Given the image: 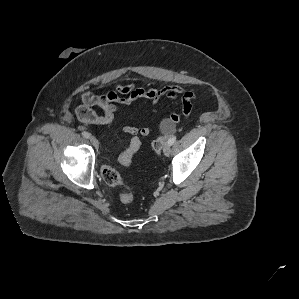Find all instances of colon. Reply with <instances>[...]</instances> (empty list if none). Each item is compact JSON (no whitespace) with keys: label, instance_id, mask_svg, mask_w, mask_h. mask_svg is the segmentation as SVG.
Wrapping results in <instances>:
<instances>
[{"label":"colon","instance_id":"obj_1","mask_svg":"<svg viewBox=\"0 0 299 299\" xmlns=\"http://www.w3.org/2000/svg\"><path fill=\"white\" fill-rule=\"evenodd\" d=\"M163 129L167 131V134L155 139L152 142V149L155 153L159 154L162 151L164 143L169 137V134L172 132V125L170 122L164 124ZM141 139L139 136L131 137L127 147L119 156V162L123 166H129L132 162L133 157L139 151L141 147ZM103 180L109 186H121L123 185V180L121 175L117 170L112 167L105 166L101 171ZM120 199L123 203H129L133 200V194L130 190H126L121 193Z\"/></svg>","mask_w":299,"mask_h":299}]
</instances>
